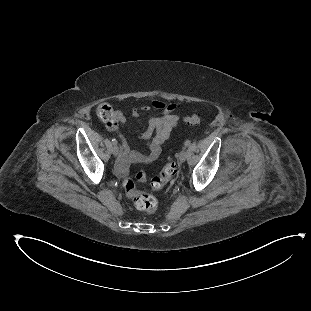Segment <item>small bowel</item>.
<instances>
[{
    "instance_id": "obj_1",
    "label": "small bowel",
    "mask_w": 311,
    "mask_h": 311,
    "mask_svg": "<svg viewBox=\"0 0 311 311\" xmlns=\"http://www.w3.org/2000/svg\"><path fill=\"white\" fill-rule=\"evenodd\" d=\"M175 108L176 105L174 103L156 100L150 104H144L140 107H132L129 109L128 115L132 118H138L141 113H148L152 110L162 112V115L159 117L152 116L149 118L147 129L140 135L141 142L148 146L149 151L147 153L131 150L129 148L125 137L119 132V124H123L126 118L124 114L119 113V124L116 128H112L111 130L118 133V137L121 141V164L151 163L159 157L162 145L178 122V117L174 113Z\"/></svg>"
}]
</instances>
